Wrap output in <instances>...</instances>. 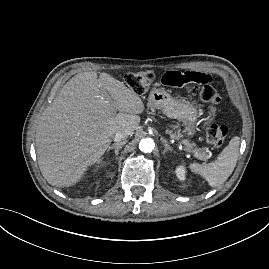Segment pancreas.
Returning a JSON list of instances; mask_svg holds the SVG:
<instances>
[{"mask_svg":"<svg viewBox=\"0 0 269 269\" xmlns=\"http://www.w3.org/2000/svg\"><path fill=\"white\" fill-rule=\"evenodd\" d=\"M169 133H171L173 137H181L180 134H177V135L173 134L172 131H169ZM184 143L186 145V149H189L197 159L206 161L209 158L206 150H204V149L199 150V149L195 148L194 143H190L186 140L184 141Z\"/></svg>","mask_w":269,"mask_h":269,"instance_id":"cf45deb5","label":"pancreas"}]
</instances>
